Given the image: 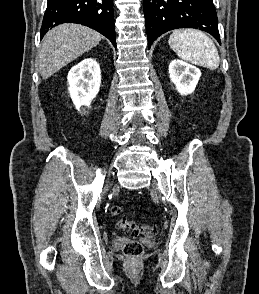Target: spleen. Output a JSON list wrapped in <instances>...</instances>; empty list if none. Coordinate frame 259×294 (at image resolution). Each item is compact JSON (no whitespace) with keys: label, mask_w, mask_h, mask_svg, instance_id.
I'll return each mask as SVG.
<instances>
[{"label":"spleen","mask_w":259,"mask_h":294,"mask_svg":"<svg viewBox=\"0 0 259 294\" xmlns=\"http://www.w3.org/2000/svg\"><path fill=\"white\" fill-rule=\"evenodd\" d=\"M168 44L178 57L195 65L215 70L220 57L213 41L204 33L194 29H178L171 34Z\"/></svg>","instance_id":"spleen-1"}]
</instances>
